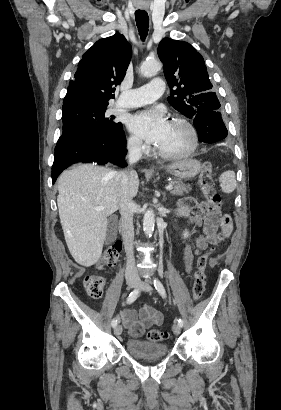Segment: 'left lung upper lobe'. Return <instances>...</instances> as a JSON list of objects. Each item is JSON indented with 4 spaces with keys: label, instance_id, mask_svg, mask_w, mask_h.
<instances>
[{
    "label": "left lung upper lobe",
    "instance_id": "5c2ea615",
    "mask_svg": "<svg viewBox=\"0 0 281 410\" xmlns=\"http://www.w3.org/2000/svg\"><path fill=\"white\" fill-rule=\"evenodd\" d=\"M164 75L170 87L168 102L186 117L218 111L203 57L187 42L164 38L158 46Z\"/></svg>",
    "mask_w": 281,
    "mask_h": 410
}]
</instances>
